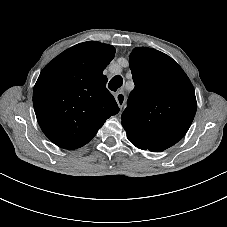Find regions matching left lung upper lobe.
I'll list each match as a JSON object with an SVG mask.
<instances>
[{
	"label": "left lung upper lobe",
	"instance_id": "5c2ea615",
	"mask_svg": "<svg viewBox=\"0 0 227 227\" xmlns=\"http://www.w3.org/2000/svg\"><path fill=\"white\" fill-rule=\"evenodd\" d=\"M135 83L122 125L128 140L140 149L165 150L188 131L197 108L193 85L168 55L147 47L130 54Z\"/></svg>",
	"mask_w": 227,
	"mask_h": 227
}]
</instances>
